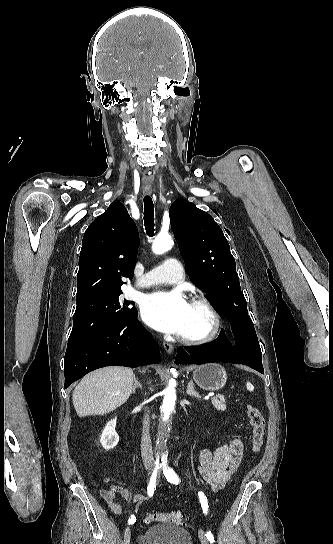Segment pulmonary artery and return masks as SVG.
<instances>
[{
  "label": "pulmonary artery",
  "mask_w": 333,
  "mask_h": 544,
  "mask_svg": "<svg viewBox=\"0 0 333 544\" xmlns=\"http://www.w3.org/2000/svg\"><path fill=\"white\" fill-rule=\"evenodd\" d=\"M184 270L181 263L175 258H167L159 266L144 275L140 284L153 286L158 284H173L181 281Z\"/></svg>",
  "instance_id": "e3ab8cb5"
}]
</instances>
